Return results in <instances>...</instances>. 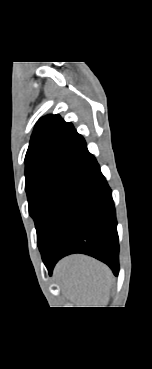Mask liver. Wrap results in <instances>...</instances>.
Wrapping results in <instances>:
<instances>
[{
	"mask_svg": "<svg viewBox=\"0 0 152 369\" xmlns=\"http://www.w3.org/2000/svg\"><path fill=\"white\" fill-rule=\"evenodd\" d=\"M54 274L76 305L108 304L114 278L105 264L88 256L72 255L57 264Z\"/></svg>",
	"mask_w": 152,
	"mask_h": 369,
	"instance_id": "liver-1",
	"label": "liver"
}]
</instances>
